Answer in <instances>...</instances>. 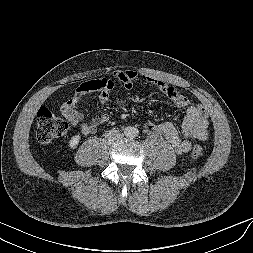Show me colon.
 Wrapping results in <instances>:
<instances>
[{
    "instance_id": "obj_1",
    "label": "colon",
    "mask_w": 253,
    "mask_h": 253,
    "mask_svg": "<svg viewBox=\"0 0 253 253\" xmlns=\"http://www.w3.org/2000/svg\"><path fill=\"white\" fill-rule=\"evenodd\" d=\"M68 130V124L56 116L47 107H41L37 112L36 138L41 144H48L53 140L62 137ZM203 155V148L200 145L193 147L191 156L199 159Z\"/></svg>"
}]
</instances>
